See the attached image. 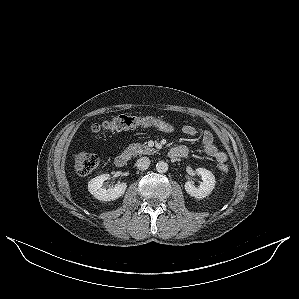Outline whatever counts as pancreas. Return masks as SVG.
<instances>
[{
  "label": "pancreas",
  "mask_w": 299,
  "mask_h": 299,
  "mask_svg": "<svg viewBox=\"0 0 299 299\" xmlns=\"http://www.w3.org/2000/svg\"><path fill=\"white\" fill-rule=\"evenodd\" d=\"M155 150L153 148H150L146 144H139V143H132L130 144L126 150L125 153L129 154L130 156H137V155H150L153 154Z\"/></svg>",
  "instance_id": "pancreas-1"
}]
</instances>
